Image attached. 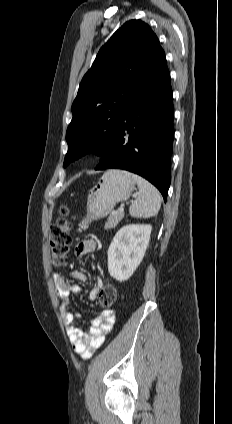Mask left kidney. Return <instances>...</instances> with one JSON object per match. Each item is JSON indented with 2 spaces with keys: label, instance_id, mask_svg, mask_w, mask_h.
<instances>
[{
  "label": "left kidney",
  "instance_id": "1",
  "mask_svg": "<svg viewBox=\"0 0 232 424\" xmlns=\"http://www.w3.org/2000/svg\"><path fill=\"white\" fill-rule=\"evenodd\" d=\"M151 230V225L129 224L116 233L108 249L111 277L122 282L133 275L145 255Z\"/></svg>",
  "mask_w": 232,
  "mask_h": 424
}]
</instances>
